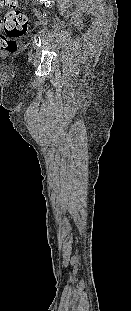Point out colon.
<instances>
[{"mask_svg":"<svg viewBox=\"0 0 131 311\" xmlns=\"http://www.w3.org/2000/svg\"><path fill=\"white\" fill-rule=\"evenodd\" d=\"M10 10L0 19V51L15 52L16 38L22 36L27 29L25 12L16 7V0H0V8Z\"/></svg>","mask_w":131,"mask_h":311,"instance_id":"5ec220e1","label":"colon"}]
</instances>
